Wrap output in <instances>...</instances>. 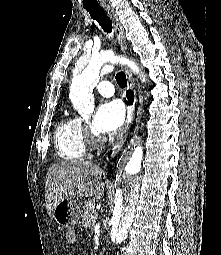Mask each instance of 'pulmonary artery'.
I'll return each mask as SVG.
<instances>
[{
    "instance_id": "e3ab8cb5",
    "label": "pulmonary artery",
    "mask_w": 221,
    "mask_h": 255,
    "mask_svg": "<svg viewBox=\"0 0 221 255\" xmlns=\"http://www.w3.org/2000/svg\"><path fill=\"white\" fill-rule=\"evenodd\" d=\"M97 91L104 97H110L114 94V87L109 81H101L96 86Z\"/></svg>"
}]
</instances>
